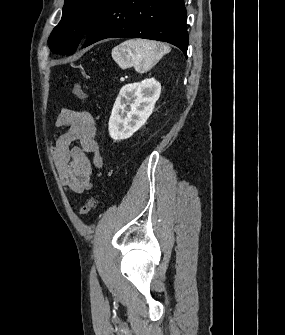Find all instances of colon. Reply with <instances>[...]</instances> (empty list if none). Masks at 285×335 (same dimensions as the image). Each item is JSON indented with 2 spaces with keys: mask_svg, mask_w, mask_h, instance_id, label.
Returning a JSON list of instances; mask_svg holds the SVG:
<instances>
[{
  "mask_svg": "<svg viewBox=\"0 0 285 335\" xmlns=\"http://www.w3.org/2000/svg\"><path fill=\"white\" fill-rule=\"evenodd\" d=\"M73 94L79 99H87L89 94L85 92L78 83H74L72 86ZM96 205V199L94 196H91L81 207L80 215L85 216L89 214Z\"/></svg>",
  "mask_w": 285,
  "mask_h": 335,
  "instance_id": "colon-1",
  "label": "colon"
}]
</instances>
